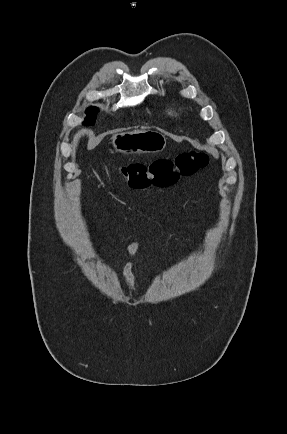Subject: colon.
Instances as JSON below:
<instances>
[{"mask_svg": "<svg viewBox=\"0 0 287 434\" xmlns=\"http://www.w3.org/2000/svg\"><path fill=\"white\" fill-rule=\"evenodd\" d=\"M208 161L204 152L191 151L181 153L173 160L159 159L148 165L128 164L121 168V173L131 188L168 187L175 184L180 177L194 174L206 166Z\"/></svg>", "mask_w": 287, "mask_h": 434, "instance_id": "5ec220e1", "label": "colon"}]
</instances>
